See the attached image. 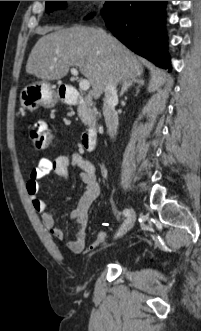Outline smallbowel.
Segmentation results:
<instances>
[{"mask_svg": "<svg viewBox=\"0 0 201 331\" xmlns=\"http://www.w3.org/2000/svg\"><path fill=\"white\" fill-rule=\"evenodd\" d=\"M78 166L82 173L80 178L85 190L77 205L70 211L69 218L75 222V238L66 243L67 248L75 253L90 252L105 240V234L99 233L88 247L86 246V230L88 225V212L93 202L100 194V186L96 178V169L92 162L85 159L80 153L71 152L60 155L54 160L42 157L31 169L26 183V190L31 199L34 210L40 214L44 227L57 239H65L64 232L56 226L53 215L47 210L46 202L39 197V181L51 171L62 179H68V168Z\"/></svg>", "mask_w": 201, "mask_h": 331, "instance_id": "c3829d8e", "label": "small bowel"}]
</instances>
